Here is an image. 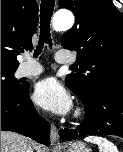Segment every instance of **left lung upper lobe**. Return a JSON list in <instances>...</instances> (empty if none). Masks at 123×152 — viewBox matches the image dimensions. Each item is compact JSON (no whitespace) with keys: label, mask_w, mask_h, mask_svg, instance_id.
<instances>
[{"label":"left lung upper lobe","mask_w":123,"mask_h":152,"mask_svg":"<svg viewBox=\"0 0 123 152\" xmlns=\"http://www.w3.org/2000/svg\"><path fill=\"white\" fill-rule=\"evenodd\" d=\"M76 22L62 36L65 49L77 52V73L66 85L87 100L105 86H123V13L110 0H59Z\"/></svg>","instance_id":"left-lung-upper-lobe-1"}]
</instances>
